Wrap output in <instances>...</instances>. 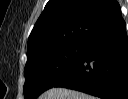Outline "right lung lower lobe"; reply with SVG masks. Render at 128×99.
<instances>
[{
  "instance_id": "right-lung-lower-lobe-1",
  "label": "right lung lower lobe",
  "mask_w": 128,
  "mask_h": 99,
  "mask_svg": "<svg viewBox=\"0 0 128 99\" xmlns=\"http://www.w3.org/2000/svg\"><path fill=\"white\" fill-rule=\"evenodd\" d=\"M53 87L102 99L128 98V36L121 12L107 28L85 42L77 64Z\"/></svg>"
}]
</instances>
